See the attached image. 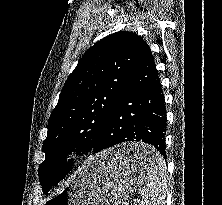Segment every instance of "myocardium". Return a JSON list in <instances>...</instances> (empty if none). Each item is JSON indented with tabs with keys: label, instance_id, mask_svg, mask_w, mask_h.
Segmentation results:
<instances>
[{
	"label": "myocardium",
	"instance_id": "myocardium-1",
	"mask_svg": "<svg viewBox=\"0 0 222 205\" xmlns=\"http://www.w3.org/2000/svg\"><path fill=\"white\" fill-rule=\"evenodd\" d=\"M76 154H77V148L69 147L64 152V158L66 160H71L76 156Z\"/></svg>",
	"mask_w": 222,
	"mask_h": 205
}]
</instances>
